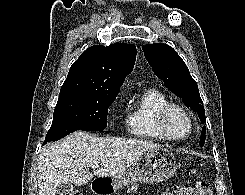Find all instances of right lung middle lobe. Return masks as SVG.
Wrapping results in <instances>:
<instances>
[{
    "label": "right lung middle lobe",
    "instance_id": "dd1d6c3e",
    "mask_svg": "<svg viewBox=\"0 0 245 195\" xmlns=\"http://www.w3.org/2000/svg\"><path fill=\"white\" fill-rule=\"evenodd\" d=\"M117 95L92 91L60 93L44 144L90 128H106L108 107Z\"/></svg>",
    "mask_w": 245,
    "mask_h": 195
}]
</instances>
